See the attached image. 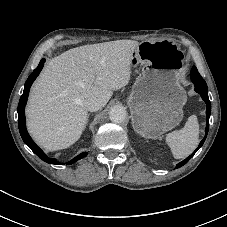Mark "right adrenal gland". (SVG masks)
Wrapping results in <instances>:
<instances>
[{"label":"right adrenal gland","instance_id":"right-adrenal-gland-1","mask_svg":"<svg viewBox=\"0 0 227 227\" xmlns=\"http://www.w3.org/2000/svg\"><path fill=\"white\" fill-rule=\"evenodd\" d=\"M88 118H89V114H88V116H87V120H86L85 127H86V126H87V124H88Z\"/></svg>","mask_w":227,"mask_h":227}]
</instances>
